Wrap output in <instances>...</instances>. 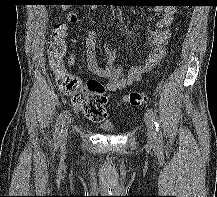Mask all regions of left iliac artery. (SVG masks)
Wrapping results in <instances>:
<instances>
[{
  "instance_id": "obj_1",
  "label": "left iliac artery",
  "mask_w": 217,
  "mask_h": 197,
  "mask_svg": "<svg viewBox=\"0 0 217 197\" xmlns=\"http://www.w3.org/2000/svg\"><path fill=\"white\" fill-rule=\"evenodd\" d=\"M147 114L151 118L152 122L154 123L155 126V131H156V141L158 145H162L163 143V137H162V131L160 127V121L159 118L152 108L147 109Z\"/></svg>"
}]
</instances>
